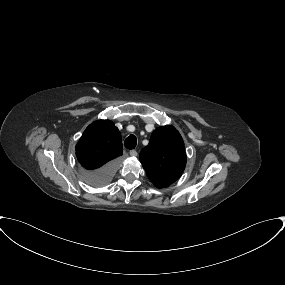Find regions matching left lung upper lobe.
Segmentation results:
<instances>
[{
	"label": "left lung upper lobe",
	"instance_id": "left-lung-upper-lobe-1",
	"mask_svg": "<svg viewBox=\"0 0 285 285\" xmlns=\"http://www.w3.org/2000/svg\"><path fill=\"white\" fill-rule=\"evenodd\" d=\"M140 161L157 188L178 180L186 165L184 142L178 131L169 125L154 130L149 144L140 152Z\"/></svg>",
	"mask_w": 285,
	"mask_h": 285
}]
</instances>
